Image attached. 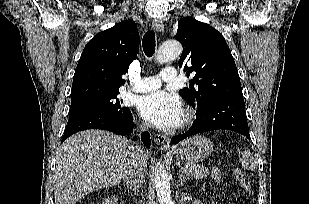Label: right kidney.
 <instances>
[{"label": "right kidney", "instance_id": "right-kidney-1", "mask_svg": "<svg viewBox=\"0 0 309 204\" xmlns=\"http://www.w3.org/2000/svg\"><path fill=\"white\" fill-rule=\"evenodd\" d=\"M102 204H118V199L116 197H111V198L105 199Z\"/></svg>", "mask_w": 309, "mask_h": 204}]
</instances>
